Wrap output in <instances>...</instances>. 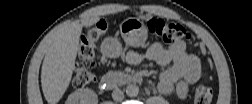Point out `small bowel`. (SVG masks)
Instances as JSON below:
<instances>
[{
  "mask_svg": "<svg viewBox=\"0 0 252 104\" xmlns=\"http://www.w3.org/2000/svg\"><path fill=\"white\" fill-rule=\"evenodd\" d=\"M145 60L166 67L160 74L158 82L161 94L175 92L179 98L184 99L189 87L202 78L200 61L196 55L187 51L184 41L169 45L154 43L146 51H130L126 56V61L132 65Z\"/></svg>",
  "mask_w": 252,
  "mask_h": 104,
  "instance_id": "obj_1",
  "label": "small bowel"
}]
</instances>
